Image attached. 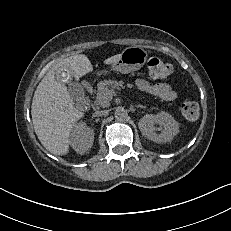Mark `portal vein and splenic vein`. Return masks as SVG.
Segmentation results:
<instances>
[{
	"mask_svg": "<svg viewBox=\"0 0 231 231\" xmlns=\"http://www.w3.org/2000/svg\"><path fill=\"white\" fill-rule=\"evenodd\" d=\"M114 93H115L114 91H110L109 95L113 96Z\"/></svg>",
	"mask_w": 231,
	"mask_h": 231,
	"instance_id": "obj_1",
	"label": "portal vein and splenic vein"
}]
</instances>
